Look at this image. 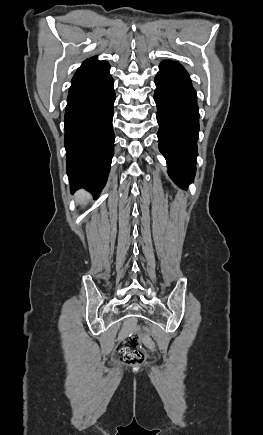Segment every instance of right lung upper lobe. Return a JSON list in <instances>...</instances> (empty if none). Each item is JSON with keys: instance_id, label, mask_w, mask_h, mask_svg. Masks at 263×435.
I'll list each match as a JSON object with an SVG mask.
<instances>
[{"instance_id": "right-lung-upper-lobe-1", "label": "right lung upper lobe", "mask_w": 263, "mask_h": 435, "mask_svg": "<svg viewBox=\"0 0 263 435\" xmlns=\"http://www.w3.org/2000/svg\"><path fill=\"white\" fill-rule=\"evenodd\" d=\"M105 61H98L97 57H91L89 59H87L86 61H84V63L79 67V69L91 66V65H96V64H100V63H104ZM78 69V70H79Z\"/></svg>"}]
</instances>
